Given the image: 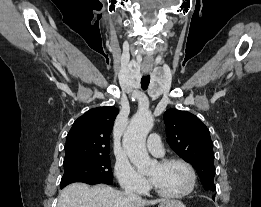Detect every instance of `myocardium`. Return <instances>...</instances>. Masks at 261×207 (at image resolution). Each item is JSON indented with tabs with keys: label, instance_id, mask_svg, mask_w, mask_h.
Wrapping results in <instances>:
<instances>
[{
	"label": "myocardium",
	"instance_id": "f54148a6",
	"mask_svg": "<svg viewBox=\"0 0 261 207\" xmlns=\"http://www.w3.org/2000/svg\"><path fill=\"white\" fill-rule=\"evenodd\" d=\"M160 165L166 166V165H171V164H180L183 167H185V169L188 172L189 175V183L188 186L186 187V189H184L181 192L178 193H167L162 191L161 189H159L152 181H151V186L152 189L155 191V193L163 198H167V199H180L183 197H186L187 195H189L190 193H192V191L195 188L196 185V174L194 171V168L192 167V165L190 163H188L187 161L180 159V158H167V159H162L159 162Z\"/></svg>",
	"mask_w": 261,
	"mask_h": 207
}]
</instances>
